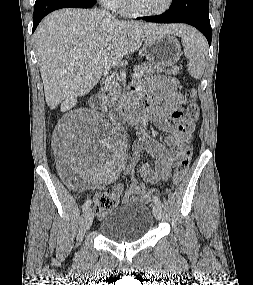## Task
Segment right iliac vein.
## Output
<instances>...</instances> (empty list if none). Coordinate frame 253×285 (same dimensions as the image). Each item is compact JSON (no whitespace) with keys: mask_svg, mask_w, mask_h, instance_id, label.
Instances as JSON below:
<instances>
[{"mask_svg":"<svg viewBox=\"0 0 253 285\" xmlns=\"http://www.w3.org/2000/svg\"><path fill=\"white\" fill-rule=\"evenodd\" d=\"M93 218H94V213L92 209H88L85 213V218H84V223H85V228L89 229L93 223Z\"/></svg>","mask_w":253,"mask_h":285,"instance_id":"obj_1","label":"right iliac vein"}]
</instances>
